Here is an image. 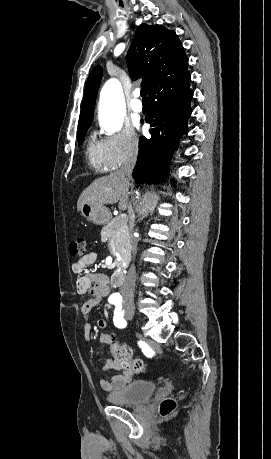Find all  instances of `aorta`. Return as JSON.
<instances>
[{
	"instance_id": "762f6f07",
	"label": "aorta",
	"mask_w": 271,
	"mask_h": 459,
	"mask_svg": "<svg viewBox=\"0 0 271 459\" xmlns=\"http://www.w3.org/2000/svg\"><path fill=\"white\" fill-rule=\"evenodd\" d=\"M124 94L120 82L108 80L100 93L99 120L102 127L110 133L121 129L124 119Z\"/></svg>"
}]
</instances>
